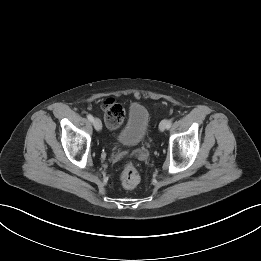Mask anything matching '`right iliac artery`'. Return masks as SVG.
Returning a JSON list of instances; mask_svg holds the SVG:
<instances>
[{
  "instance_id": "82829eb1",
  "label": "right iliac artery",
  "mask_w": 261,
  "mask_h": 261,
  "mask_svg": "<svg viewBox=\"0 0 261 261\" xmlns=\"http://www.w3.org/2000/svg\"><path fill=\"white\" fill-rule=\"evenodd\" d=\"M87 118H88V120H89L90 122H93V121H94V118H93V116H92L91 114H88V115H87Z\"/></svg>"
}]
</instances>
